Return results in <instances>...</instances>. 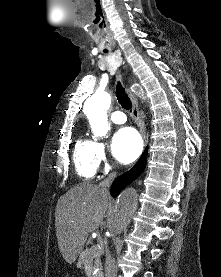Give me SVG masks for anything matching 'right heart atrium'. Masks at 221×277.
Wrapping results in <instances>:
<instances>
[{
    "label": "right heart atrium",
    "instance_id": "d8ad5b80",
    "mask_svg": "<svg viewBox=\"0 0 221 277\" xmlns=\"http://www.w3.org/2000/svg\"><path fill=\"white\" fill-rule=\"evenodd\" d=\"M96 158L99 165H105L107 161L106 146L103 142H96Z\"/></svg>",
    "mask_w": 221,
    "mask_h": 277
}]
</instances>
